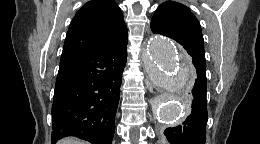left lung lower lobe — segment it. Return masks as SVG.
Returning a JSON list of instances; mask_svg holds the SVG:
<instances>
[{
  "label": "left lung lower lobe",
  "mask_w": 260,
  "mask_h": 144,
  "mask_svg": "<svg viewBox=\"0 0 260 144\" xmlns=\"http://www.w3.org/2000/svg\"><path fill=\"white\" fill-rule=\"evenodd\" d=\"M187 53L193 58L195 64L203 58L200 52L193 49H187ZM196 72V82L192 91L188 93V101L192 102L191 114L180 125L167 128L164 131V135L171 144H205V128L208 119L206 71L197 69Z\"/></svg>",
  "instance_id": "0a47b994"
}]
</instances>
